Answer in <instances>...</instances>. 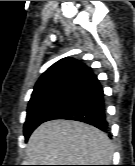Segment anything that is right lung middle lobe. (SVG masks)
I'll use <instances>...</instances> for the list:
<instances>
[{
    "label": "right lung middle lobe",
    "mask_w": 135,
    "mask_h": 166,
    "mask_svg": "<svg viewBox=\"0 0 135 166\" xmlns=\"http://www.w3.org/2000/svg\"><path fill=\"white\" fill-rule=\"evenodd\" d=\"M71 98L72 95L66 86L29 102L24 124L25 139L27 140L32 131L41 123L53 120L63 113L67 109Z\"/></svg>",
    "instance_id": "dd1d6c3e"
}]
</instances>
